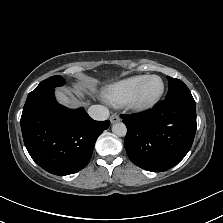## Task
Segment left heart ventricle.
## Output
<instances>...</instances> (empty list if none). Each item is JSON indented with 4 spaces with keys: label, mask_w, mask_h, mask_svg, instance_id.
Segmentation results:
<instances>
[{
    "label": "left heart ventricle",
    "mask_w": 223,
    "mask_h": 223,
    "mask_svg": "<svg viewBox=\"0 0 223 223\" xmlns=\"http://www.w3.org/2000/svg\"><path fill=\"white\" fill-rule=\"evenodd\" d=\"M160 87L161 83L158 78H150L145 80L140 87L138 101L145 103L152 100L159 92Z\"/></svg>",
    "instance_id": "b2bd125f"
}]
</instances>
